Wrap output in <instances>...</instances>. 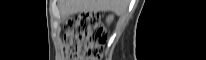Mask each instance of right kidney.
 Segmentation results:
<instances>
[{"label":"right kidney","instance_id":"right-kidney-1","mask_svg":"<svg viewBox=\"0 0 206 60\" xmlns=\"http://www.w3.org/2000/svg\"><path fill=\"white\" fill-rule=\"evenodd\" d=\"M112 18H113V16H109V17L107 18V21L110 22V21L112 20Z\"/></svg>","mask_w":206,"mask_h":60}]
</instances>
